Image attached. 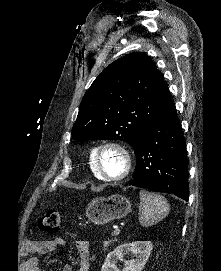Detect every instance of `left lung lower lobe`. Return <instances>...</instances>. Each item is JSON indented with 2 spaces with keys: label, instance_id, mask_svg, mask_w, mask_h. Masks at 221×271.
<instances>
[{
  "label": "left lung lower lobe",
  "instance_id": "left-lung-lower-lobe-1",
  "mask_svg": "<svg viewBox=\"0 0 221 271\" xmlns=\"http://www.w3.org/2000/svg\"><path fill=\"white\" fill-rule=\"evenodd\" d=\"M137 165L130 185L188 201V158L175 106L148 124L132 145Z\"/></svg>",
  "mask_w": 221,
  "mask_h": 271
}]
</instances>
